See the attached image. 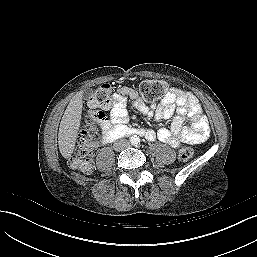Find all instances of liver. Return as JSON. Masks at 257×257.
Segmentation results:
<instances>
[{"instance_id": "liver-1", "label": "liver", "mask_w": 257, "mask_h": 257, "mask_svg": "<svg viewBox=\"0 0 257 257\" xmlns=\"http://www.w3.org/2000/svg\"><path fill=\"white\" fill-rule=\"evenodd\" d=\"M83 92H78L69 102L60 122L58 145L61 155L71 157L76 143L83 108Z\"/></svg>"}]
</instances>
